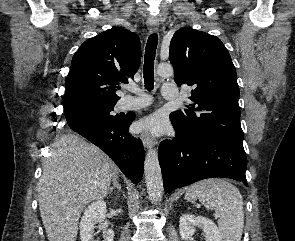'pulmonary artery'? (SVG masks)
Here are the masks:
<instances>
[{
    "mask_svg": "<svg viewBox=\"0 0 295 241\" xmlns=\"http://www.w3.org/2000/svg\"><path fill=\"white\" fill-rule=\"evenodd\" d=\"M137 97L126 96L122 101V107L126 110L140 109L148 106L152 99L142 91L136 90ZM162 96L167 100L175 101L178 97V90L175 84L165 83L161 89Z\"/></svg>",
    "mask_w": 295,
    "mask_h": 241,
    "instance_id": "pulmonary-artery-1",
    "label": "pulmonary artery"
}]
</instances>
